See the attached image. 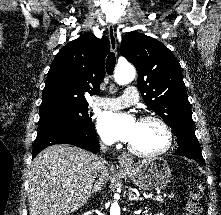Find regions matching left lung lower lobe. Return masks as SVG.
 I'll return each instance as SVG.
<instances>
[{"mask_svg": "<svg viewBox=\"0 0 221 215\" xmlns=\"http://www.w3.org/2000/svg\"><path fill=\"white\" fill-rule=\"evenodd\" d=\"M175 154L185 156L189 159H195L205 164L200 147L196 146H179Z\"/></svg>", "mask_w": 221, "mask_h": 215, "instance_id": "1", "label": "left lung lower lobe"}]
</instances>
